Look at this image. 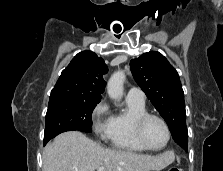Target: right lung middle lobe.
I'll return each instance as SVG.
<instances>
[{"mask_svg":"<svg viewBox=\"0 0 223 171\" xmlns=\"http://www.w3.org/2000/svg\"><path fill=\"white\" fill-rule=\"evenodd\" d=\"M99 102L79 98L49 100L44 142L70 129L91 132L92 112Z\"/></svg>","mask_w":223,"mask_h":171,"instance_id":"right-lung-middle-lobe-1","label":"right lung middle lobe"}]
</instances>
